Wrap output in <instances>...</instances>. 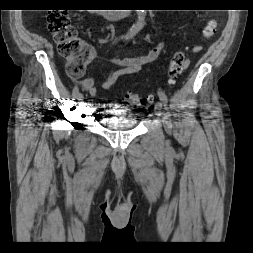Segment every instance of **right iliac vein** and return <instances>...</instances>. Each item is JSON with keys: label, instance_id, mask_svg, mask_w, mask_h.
<instances>
[{"label": "right iliac vein", "instance_id": "right-iliac-vein-1", "mask_svg": "<svg viewBox=\"0 0 253 253\" xmlns=\"http://www.w3.org/2000/svg\"><path fill=\"white\" fill-rule=\"evenodd\" d=\"M83 99L84 96L82 94H79L76 98V104H75V112H78L80 110V108L83 105Z\"/></svg>", "mask_w": 253, "mask_h": 253}]
</instances>
